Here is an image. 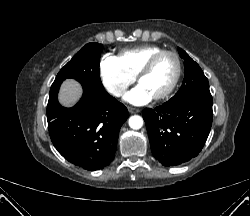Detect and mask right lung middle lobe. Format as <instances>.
Here are the masks:
<instances>
[{"label":"right lung middle lobe","mask_w":250,"mask_h":216,"mask_svg":"<svg viewBox=\"0 0 250 216\" xmlns=\"http://www.w3.org/2000/svg\"><path fill=\"white\" fill-rule=\"evenodd\" d=\"M103 46L98 43L86 44L60 70L53 82L50 95H56L65 79H75L83 87L104 90L99 74L100 55Z\"/></svg>","instance_id":"obj_1"}]
</instances>
